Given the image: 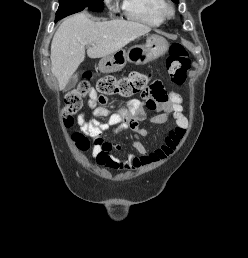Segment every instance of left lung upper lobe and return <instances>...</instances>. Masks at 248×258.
<instances>
[{
	"mask_svg": "<svg viewBox=\"0 0 248 258\" xmlns=\"http://www.w3.org/2000/svg\"><path fill=\"white\" fill-rule=\"evenodd\" d=\"M173 2H175V3H179V0H172Z\"/></svg>",
	"mask_w": 248,
	"mask_h": 258,
	"instance_id": "obj_1",
	"label": "left lung upper lobe"
}]
</instances>
